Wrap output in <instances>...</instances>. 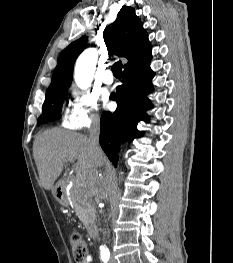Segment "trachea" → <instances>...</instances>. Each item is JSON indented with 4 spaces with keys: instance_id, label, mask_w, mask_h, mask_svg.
I'll return each instance as SVG.
<instances>
[{
    "instance_id": "3493384b",
    "label": "trachea",
    "mask_w": 233,
    "mask_h": 263,
    "mask_svg": "<svg viewBox=\"0 0 233 263\" xmlns=\"http://www.w3.org/2000/svg\"><path fill=\"white\" fill-rule=\"evenodd\" d=\"M112 72L116 78H121L122 76V62L118 61L113 64Z\"/></svg>"
}]
</instances>
